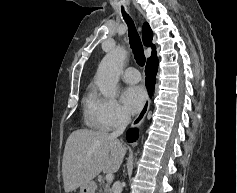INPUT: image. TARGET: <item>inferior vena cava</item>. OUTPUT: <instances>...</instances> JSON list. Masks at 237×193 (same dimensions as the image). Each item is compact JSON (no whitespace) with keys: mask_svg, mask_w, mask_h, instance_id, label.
<instances>
[{"mask_svg":"<svg viewBox=\"0 0 237 193\" xmlns=\"http://www.w3.org/2000/svg\"><path fill=\"white\" fill-rule=\"evenodd\" d=\"M129 122H130V116L126 113H121L117 120L116 130L113 131L110 134V136L115 139L119 137L124 132ZM121 191L122 186L120 182L119 181L115 182L113 185V193H121Z\"/></svg>","mask_w":237,"mask_h":193,"instance_id":"inferior-vena-cava-1","label":"inferior vena cava"}]
</instances>
